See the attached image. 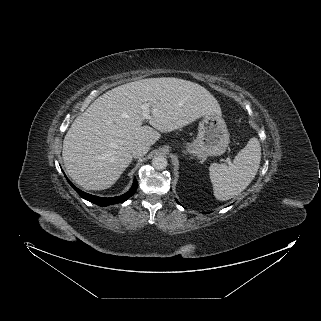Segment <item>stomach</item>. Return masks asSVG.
<instances>
[{
  "label": "stomach",
  "instance_id": "1",
  "mask_svg": "<svg viewBox=\"0 0 321 321\" xmlns=\"http://www.w3.org/2000/svg\"><path fill=\"white\" fill-rule=\"evenodd\" d=\"M229 133L221 115L206 114L199 124L197 138L187 150L200 159L223 154L229 144Z\"/></svg>",
  "mask_w": 321,
  "mask_h": 321
}]
</instances>
